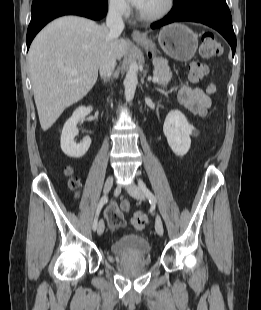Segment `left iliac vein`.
Instances as JSON below:
<instances>
[{"instance_id": "left-iliac-vein-1", "label": "left iliac vein", "mask_w": 261, "mask_h": 310, "mask_svg": "<svg viewBox=\"0 0 261 310\" xmlns=\"http://www.w3.org/2000/svg\"><path fill=\"white\" fill-rule=\"evenodd\" d=\"M127 191L135 199H138V200L144 199L143 192L141 191L139 186H137L136 184H131V185L127 186ZM155 230H156L158 235H160V236L163 235V232H164L163 223H162V219L159 215H156V218H155Z\"/></svg>"}]
</instances>
